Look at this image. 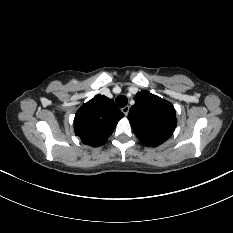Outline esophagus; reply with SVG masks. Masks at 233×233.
I'll list each match as a JSON object with an SVG mask.
<instances>
[{
    "instance_id": "1",
    "label": "esophagus",
    "mask_w": 233,
    "mask_h": 233,
    "mask_svg": "<svg viewBox=\"0 0 233 233\" xmlns=\"http://www.w3.org/2000/svg\"><path fill=\"white\" fill-rule=\"evenodd\" d=\"M121 110L124 113V115L127 116L128 113H129L130 107L129 106H125Z\"/></svg>"
}]
</instances>
